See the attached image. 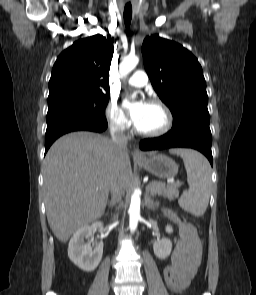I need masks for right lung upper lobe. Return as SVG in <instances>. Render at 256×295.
Wrapping results in <instances>:
<instances>
[{
    "instance_id": "obj_1",
    "label": "right lung upper lobe",
    "mask_w": 256,
    "mask_h": 295,
    "mask_svg": "<svg viewBox=\"0 0 256 295\" xmlns=\"http://www.w3.org/2000/svg\"><path fill=\"white\" fill-rule=\"evenodd\" d=\"M114 47L110 35L76 41L57 58L49 81L48 101L65 95H109Z\"/></svg>"
}]
</instances>
